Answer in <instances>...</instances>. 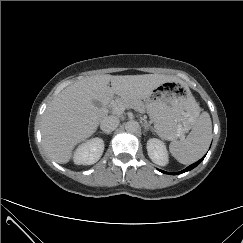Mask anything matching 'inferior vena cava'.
Returning a JSON list of instances; mask_svg holds the SVG:
<instances>
[{
    "label": "inferior vena cava",
    "mask_w": 243,
    "mask_h": 243,
    "mask_svg": "<svg viewBox=\"0 0 243 243\" xmlns=\"http://www.w3.org/2000/svg\"><path fill=\"white\" fill-rule=\"evenodd\" d=\"M119 125V119L116 116H107L105 117L100 124V127L103 132L110 133L114 131Z\"/></svg>",
    "instance_id": "602c4592"
}]
</instances>
